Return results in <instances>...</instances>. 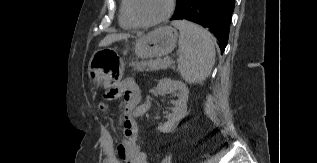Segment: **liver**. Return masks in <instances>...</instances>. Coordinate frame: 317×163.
Returning a JSON list of instances; mask_svg holds the SVG:
<instances>
[{"label": "liver", "instance_id": "1", "mask_svg": "<svg viewBox=\"0 0 317 163\" xmlns=\"http://www.w3.org/2000/svg\"><path fill=\"white\" fill-rule=\"evenodd\" d=\"M129 37L130 35L128 34H109L103 40H101V42L99 43V47H105L116 41L127 39Z\"/></svg>", "mask_w": 317, "mask_h": 163}]
</instances>
